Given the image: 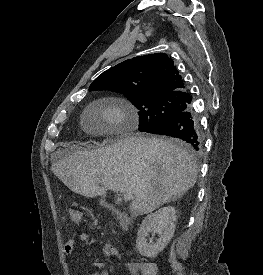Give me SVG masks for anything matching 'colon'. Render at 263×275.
<instances>
[{
  "mask_svg": "<svg viewBox=\"0 0 263 275\" xmlns=\"http://www.w3.org/2000/svg\"><path fill=\"white\" fill-rule=\"evenodd\" d=\"M68 216H69V219L74 223H78L82 219V213L79 210L73 209V208L68 210ZM136 265L139 266L140 268L142 267L141 265H138V264Z\"/></svg>",
  "mask_w": 263,
  "mask_h": 275,
  "instance_id": "1",
  "label": "colon"
}]
</instances>
